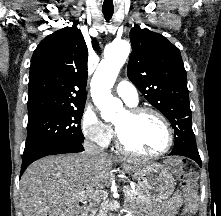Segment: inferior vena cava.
I'll return each instance as SVG.
<instances>
[{"mask_svg": "<svg viewBox=\"0 0 221 216\" xmlns=\"http://www.w3.org/2000/svg\"><path fill=\"white\" fill-rule=\"evenodd\" d=\"M86 153L91 156L101 155L104 153V150L93 143L86 142L84 144Z\"/></svg>", "mask_w": 221, "mask_h": 216, "instance_id": "1", "label": "inferior vena cava"}]
</instances>
